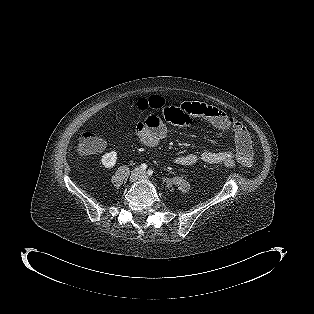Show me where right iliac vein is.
I'll return each instance as SVG.
<instances>
[{
    "label": "right iliac vein",
    "instance_id": "right-iliac-vein-1",
    "mask_svg": "<svg viewBox=\"0 0 314 314\" xmlns=\"http://www.w3.org/2000/svg\"><path fill=\"white\" fill-rule=\"evenodd\" d=\"M141 177V171L140 169L136 168L132 171L131 175H130V182H135L137 181L139 178Z\"/></svg>",
    "mask_w": 314,
    "mask_h": 314
}]
</instances>
